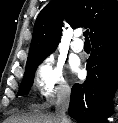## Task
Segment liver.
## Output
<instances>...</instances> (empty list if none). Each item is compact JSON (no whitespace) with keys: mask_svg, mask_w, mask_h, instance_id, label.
<instances>
[{"mask_svg":"<svg viewBox=\"0 0 118 123\" xmlns=\"http://www.w3.org/2000/svg\"><path fill=\"white\" fill-rule=\"evenodd\" d=\"M4 123H60L56 114L35 113L29 116H11Z\"/></svg>","mask_w":118,"mask_h":123,"instance_id":"liver-1","label":"liver"}]
</instances>
